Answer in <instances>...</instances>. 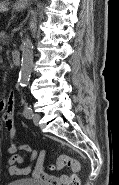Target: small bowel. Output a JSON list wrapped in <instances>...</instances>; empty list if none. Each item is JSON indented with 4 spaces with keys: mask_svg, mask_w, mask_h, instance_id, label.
<instances>
[{
    "mask_svg": "<svg viewBox=\"0 0 119 185\" xmlns=\"http://www.w3.org/2000/svg\"><path fill=\"white\" fill-rule=\"evenodd\" d=\"M14 108L15 97L13 92H11L7 98L0 100V110L3 112V121L9 134L6 163L8 173L12 176L28 175L32 171L33 162L37 160L33 170V176L35 178L42 179L49 185H65L69 178L68 175L52 176L44 171V151L38 153V150L32 148L30 145L19 144L16 141ZM18 151H21V153H17ZM26 160H28V164L25 167L16 166L17 163H23Z\"/></svg>",
    "mask_w": 119,
    "mask_h": 185,
    "instance_id": "small-bowel-1",
    "label": "small bowel"
}]
</instances>
